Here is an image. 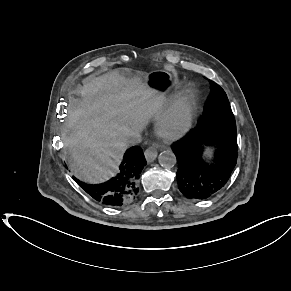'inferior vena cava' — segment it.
Here are the masks:
<instances>
[{"instance_id":"1","label":"inferior vena cava","mask_w":291,"mask_h":291,"mask_svg":"<svg viewBox=\"0 0 291 291\" xmlns=\"http://www.w3.org/2000/svg\"><path fill=\"white\" fill-rule=\"evenodd\" d=\"M141 132L142 130H131L127 135H126V142L130 145H137L141 142L142 137H141Z\"/></svg>"}]
</instances>
